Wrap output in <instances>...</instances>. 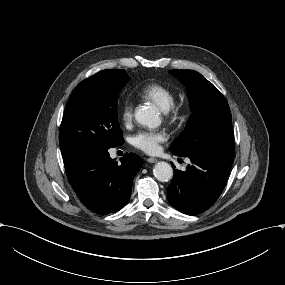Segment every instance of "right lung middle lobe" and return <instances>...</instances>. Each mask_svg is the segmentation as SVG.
Segmentation results:
<instances>
[{"label": "right lung middle lobe", "instance_id": "1", "mask_svg": "<svg viewBox=\"0 0 285 285\" xmlns=\"http://www.w3.org/2000/svg\"><path fill=\"white\" fill-rule=\"evenodd\" d=\"M128 80L124 69H108L77 85L60 127L59 144L63 157L124 143L118 123L117 100Z\"/></svg>", "mask_w": 285, "mask_h": 285}]
</instances>
